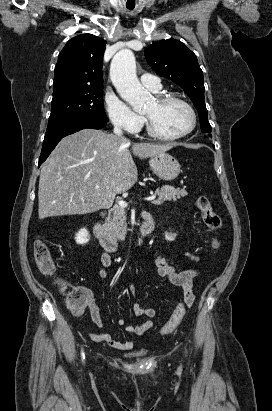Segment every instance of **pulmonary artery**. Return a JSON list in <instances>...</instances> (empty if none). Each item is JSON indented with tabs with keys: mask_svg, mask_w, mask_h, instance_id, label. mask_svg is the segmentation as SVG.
<instances>
[{
	"mask_svg": "<svg viewBox=\"0 0 272 411\" xmlns=\"http://www.w3.org/2000/svg\"><path fill=\"white\" fill-rule=\"evenodd\" d=\"M142 84L152 92H158L161 89L160 79L151 74H143L140 77Z\"/></svg>",
	"mask_w": 272,
	"mask_h": 411,
	"instance_id": "obj_1",
	"label": "pulmonary artery"
}]
</instances>
